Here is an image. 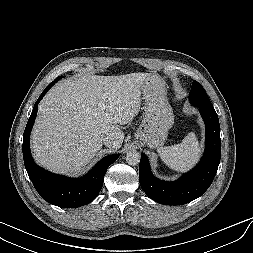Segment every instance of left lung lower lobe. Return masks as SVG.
<instances>
[{
  "label": "left lung lower lobe",
  "mask_w": 253,
  "mask_h": 253,
  "mask_svg": "<svg viewBox=\"0 0 253 253\" xmlns=\"http://www.w3.org/2000/svg\"><path fill=\"white\" fill-rule=\"evenodd\" d=\"M206 125L205 153L199 164L173 182L155 178L148 159L141 154L139 180L144 192L154 201L164 205H182L200 197L211 185L221 156L220 125L214 108L199 107Z\"/></svg>",
  "instance_id": "0a47b994"
}]
</instances>
